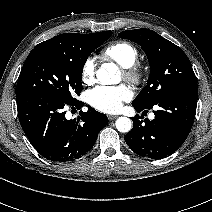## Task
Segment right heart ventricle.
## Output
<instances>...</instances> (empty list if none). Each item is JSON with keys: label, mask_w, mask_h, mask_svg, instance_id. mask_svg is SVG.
<instances>
[{"label": "right heart ventricle", "mask_w": 212, "mask_h": 212, "mask_svg": "<svg viewBox=\"0 0 212 212\" xmlns=\"http://www.w3.org/2000/svg\"><path fill=\"white\" fill-rule=\"evenodd\" d=\"M138 51L130 43L116 41L106 46L101 52V58L113 61L122 68L129 67L137 61Z\"/></svg>", "instance_id": "right-heart-ventricle-1"}]
</instances>
